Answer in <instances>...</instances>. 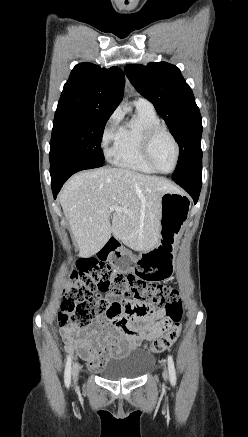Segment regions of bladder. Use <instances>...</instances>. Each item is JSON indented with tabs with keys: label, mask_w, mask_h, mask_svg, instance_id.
<instances>
[{
	"label": "bladder",
	"mask_w": 248,
	"mask_h": 437,
	"mask_svg": "<svg viewBox=\"0 0 248 437\" xmlns=\"http://www.w3.org/2000/svg\"><path fill=\"white\" fill-rule=\"evenodd\" d=\"M153 363L154 357L151 354L134 350L111 361L102 371V376L111 381L137 379L142 377Z\"/></svg>",
	"instance_id": "31cf9c89"
}]
</instances>
